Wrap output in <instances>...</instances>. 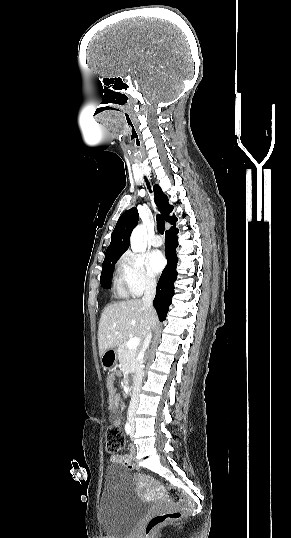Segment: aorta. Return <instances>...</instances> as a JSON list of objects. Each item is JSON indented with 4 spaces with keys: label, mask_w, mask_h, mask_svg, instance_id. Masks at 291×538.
Returning <instances> with one entry per match:
<instances>
[{
    "label": "aorta",
    "mask_w": 291,
    "mask_h": 538,
    "mask_svg": "<svg viewBox=\"0 0 291 538\" xmlns=\"http://www.w3.org/2000/svg\"><path fill=\"white\" fill-rule=\"evenodd\" d=\"M144 229L142 226H136L132 232L130 246L134 252H140L143 244Z\"/></svg>",
    "instance_id": "aorta-1"
}]
</instances>
